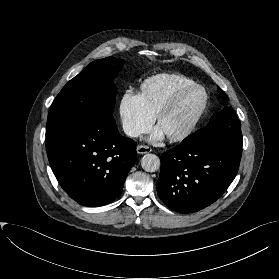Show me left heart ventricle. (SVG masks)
<instances>
[{
  "label": "left heart ventricle",
  "mask_w": 279,
  "mask_h": 279,
  "mask_svg": "<svg viewBox=\"0 0 279 279\" xmlns=\"http://www.w3.org/2000/svg\"><path fill=\"white\" fill-rule=\"evenodd\" d=\"M204 94L201 90H194L180 102L177 108L159 125L165 135L177 134L184 130L192 121L202 105Z\"/></svg>",
  "instance_id": "obj_1"
}]
</instances>
